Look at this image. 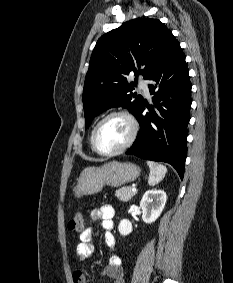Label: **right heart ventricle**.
<instances>
[{
  "label": "right heart ventricle",
  "mask_w": 233,
  "mask_h": 283,
  "mask_svg": "<svg viewBox=\"0 0 233 283\" xmlns=\"http://www.w3.org/2000/svg\"><path fill=\"white\" fill-rule=\"evenodd\" d=\"M94 129V128H93ZM93 129H92V131H91V135H90V141H91V137H92V132H93Z\"/></svg>",
  "instance_id": "e07e8e85"
}]
</instances>
